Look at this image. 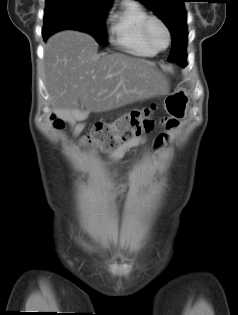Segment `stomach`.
I'll return each instance as SVG.
<instances>
[{"label": "stomach", "instance_id": "0dacf381", "mask_svg": "<svg viewBox=\"0 0 238 315\" xmlns=\"http://www.w3.org/2000/svg\"><path fill=\"white\" fill-rule=\"evenodd\" d=\"M187 105H189V91L179 90L167 94L163 108L173 120H184Z\"/></svg>", "mask_w": 238, "mask_h": 315}]
</instances>
